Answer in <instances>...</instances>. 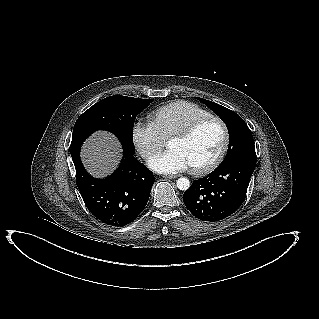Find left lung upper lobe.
<instances>
[{
  "instance_id": "5c2ea615",
  "label": "left lung upper lobe",
  "mask_w": 319,
  "mask_h": 319,
  "mask_svg": "<svg viewBox=\"0 0 319 319\" xmlns=\"http://www.w3.org/2000/svg\"><path fill=\"white\" fill-rule=\"evenodd\" d=\"M214 111L226 124L229 132V147L220 165L234 160H249L256 163L254 140L247 124L232 110L206 99L198 98Z\"/></svg>"
}]
</instances>
